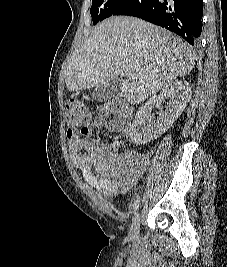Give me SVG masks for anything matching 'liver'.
I'll return each mask as SVG.
<instances>
[{"label":"liver","instance_id":"1","mask_svg":"<svg viewBox=\"0 0 227 267\" xmlns=\"http://www.w3.org/2000/svg\"><path fill=\"white\" fill-rule=\"evenodd\" d=\"M194 66V50L172 32L133 17H110L75 51L65 82L69 91L97 88L131 69L135 77L119 81V95L135 104Z\"/></svg>","mask_w":227,"mask_h":267}]
</instances>
